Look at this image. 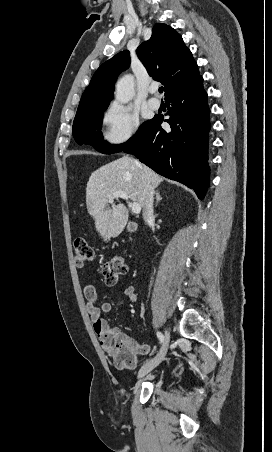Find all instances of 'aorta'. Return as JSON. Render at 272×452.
<instances>
[{
    "label": "aorta",
    "instance_id": "1",
    "mask_svg": "<svg viewBox=\"0 0 272 452\" xmlns=\"http://www.w3.org/2000/svg\"><path fill=\"white\" fill-rule=\"evenodd\" d=\"M134 96V79L131 75L123 76L116 84L115 100L127 104Z\"/></svg>",
    "mask_w": 272,
    "mask_h": 452
}]
</instances>
